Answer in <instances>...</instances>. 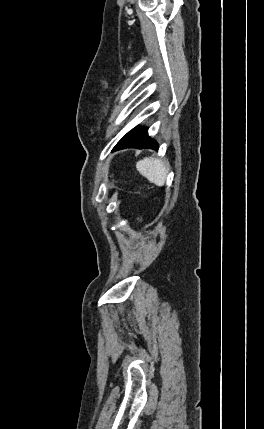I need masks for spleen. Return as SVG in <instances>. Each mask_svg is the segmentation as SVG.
Wrapping results in <instances>:
<instances>
[{"label":"spleen","mask_w":264,"mask_h":429,"mask_svg":"<svg viewBox=\"0 0 264 429\" xmlns=\"http://www.w3.org/2000/svg\"><path fill=\"white\" fill-rule=\"evenodd\" d=\"M136 168L150 182L159 187L164 186L169 166L163 160L146 157L137 162Z\"/></svg>","instance_id":"spleen-1"}]
</instances>
